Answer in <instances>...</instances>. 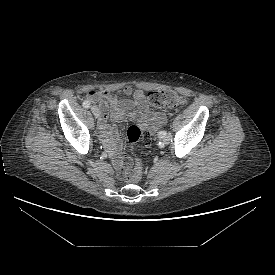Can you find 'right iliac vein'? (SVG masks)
<instances>
[{
    "label": "right iliac vein",
    "mask_w": 275,
    "mask_h": 275,
    "mask_svg": "<svg viewBox=\"0 0 275 275\" xmlns=\"http://www.w3.org/2000/svg\"><path fill=\"white\" fill-rule=\"evenodd\" d=\"M91 111L94 114L95 118H99L100 116V110L97 106H92Z\"/></svg>",
    "instance_id": "1"
}]
</instances>
